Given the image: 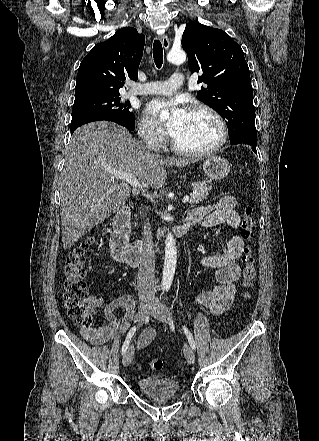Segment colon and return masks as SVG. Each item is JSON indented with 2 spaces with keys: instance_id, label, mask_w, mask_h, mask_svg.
I'll use <instances>...</instances> for the list:
<instances>
[{
  "instance_id": "5ec220e1",
  "label": "colon",
  "mask_w": 319,
  "mask_h": 441,
  "mask_svg": "<svg viewBox=\"0 0 319 441\" xmlns=\"http://www.w3.org/2000/svg\"><path fill=\"white\" fill-rule=\"evenodd\" d=\"M255 219L253 208L246 205L242 212L241 236L247 242L242 254L243 272L242 286L244 297H250V289L256 277L255 260L252 253L251 241L254 235ZM93 238H88L75 248L66 259L64 267L63 299L68 317L77 325L90 327L94 305L89 297L84 278V264L87 252L93 243ZM163 367L160 358H153L148 362L151 371H159Z\"/></svg>"
}]
</instances>
